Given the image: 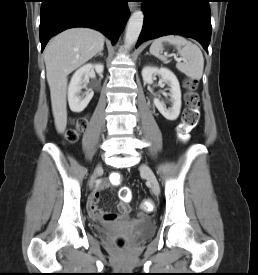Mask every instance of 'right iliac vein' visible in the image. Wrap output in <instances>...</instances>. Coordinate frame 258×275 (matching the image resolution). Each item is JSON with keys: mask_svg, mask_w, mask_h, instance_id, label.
<instances>
[{"mask_svg": "<svg viewBox=\"0 0 258 275\" xmlns=\"http://www.w3.org/2000/svg\"><path fill=\"white\" fill-rule=\"evenodd\" d=\"M101 170H102L101 165H98V166L96 167V169H95V172H94V174H93L91 180H90V187H93L94 182H95V179H96L98 173H99Z\"/></svg>", "mask_w": 258, "mask_h": 275, "instance_id": "obj_1", "label": "right iliac vein"}]
</instances>
